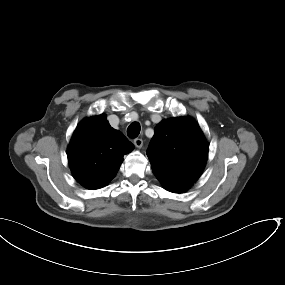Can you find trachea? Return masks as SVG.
<instances>
[{
  "instance_id": "trachea-1",
  "label": "trachea",
  "mask_w": 285,
  "mask_h": 285,
  "mask_svg": "<svg viewBox=\"0 0 285 285\" xmlns=\"http://www.w3.org/2000/svg\"><path fill=\"white\" fill-rule=\"evenodd\" d=\"M140 129V124L134 122L127 128V134L130 138H136L140 133Z\"/></svg>"
}]
</instances>
